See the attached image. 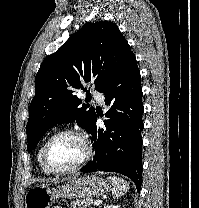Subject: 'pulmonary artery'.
I'll use <instances>...</instances> for the list:
<instances>
[{
    "label": "pulmonary artery",
    "mask_w": 199,
    "mask_h": 208,
    "mask_svg": "<svg viewBox=\"0 0 199 208\" xmlns=\"http://www.w3.org/2000/svg\"><path fill=\"white\" fill-rule=\"evenodd\" d=\"M91 93H92V95H93V97H94V99L96 100L97 103H99V104L103 103L104 98H103V95L101 93H99L96 90H92Z\"/></svg>",
    "instance_id": "1"
}]
</instances>
